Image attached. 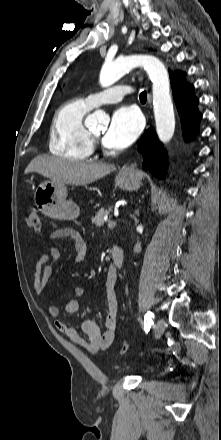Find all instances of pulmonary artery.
Here are the masks:
<instances>
[{"label":"pulmonary artery","instance_id":"obj_1","mask_svg":"<svg viewBox=\"0 0 221 440\" xmlns=\"http://www.w3.org/2000/svg\"><path fill=\"white\" fill-rule=\"evenodd\" d=\"M131 92V86L118 85L102 92L91 94L86 98V101L91 105V107H97L102 104L119 102Z\"/></svg>","mask_w":221,"mask_h":440}]
</instances>
